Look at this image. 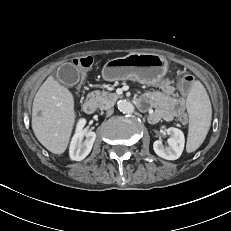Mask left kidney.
<instances>
[{"label": "left kidney", "mask_w": 231, "mask_h": 231, "mask_svg": "<svg viewBox=\"0 0 231 231\" xmlns=\"http://www.w3.org/2000/svg\"><path fill=\"white\" fill-rule=\"evenodd\" d=\"M165 131L169 135V139L167 140L168 145L164 146L162 141L157 140L153 144L154 152L166 160H176L181 156L184 149V133L174 127L167 128Z\"/></svg>", "instance_id": "obj_1"}]
</instances>
